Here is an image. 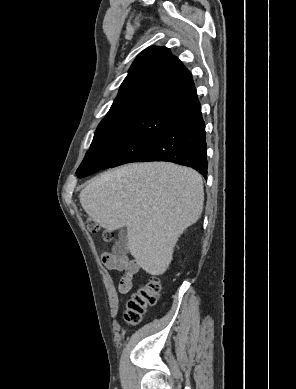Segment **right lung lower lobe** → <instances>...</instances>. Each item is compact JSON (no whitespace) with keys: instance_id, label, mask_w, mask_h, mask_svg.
I'll list each match as a JSON object with an SVG mask.
<instances>
[{"instance_id":"obj_1","label":"right lung lower lobe","mask_w":296,"mask_h":389,"mask_svg":"<svg viewBox=\"0 0 296 389\" xmlns=\"http://www.w3.org/2000/svg\"><path fill=\"white\" fill-rule=\"evenodd\" d=\"M207 145L205 122L201 107L180 116L148 149L139 162L168 161L191 167L206 178ZM97 172L89 167H79L78 177Z\"/></svg>"}]
</instances>
